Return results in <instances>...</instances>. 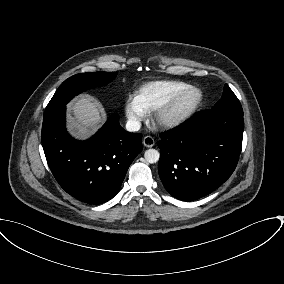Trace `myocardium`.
<instances>
[{
  "instance_id": "1",
  "label": "myocardium",
  "mask_w": 284,
  "mask_h": 284,
  "mask_svg": "<svg viewBox=\"0 0 284 284\" xmlns=\"http://www.w3.org/2000/svg\"><path fill=\"white\" fill-rule=\"evenodd\" d=\"M190 94H195L194 101L188 107L182 108L184 100ZM203 99L202 90L198 87L190 86L155 111L153 117L154 123L164 129L179 127L194 115L201 106Z\"/></svg>"
}]
</instances>
